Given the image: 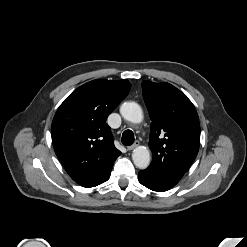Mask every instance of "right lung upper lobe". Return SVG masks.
I'll use <instances>...</instances> for the list:
<instances>
[{
    "label": "right lung upper lobe",
    "instance_id": "right-lung-upper-lobe-1",
    "mask_svg": "<svg viewBox=\"0 0 247 247\" xmlns=\"http://www.w3.org/2000/svg\"><path fill=\"white\" fill-rule=\"evenodd\" d=\"M130 88L128 80L90 81L74 90L54 116L51 134L55 153L69 176L83 187L107 181L121 154L106 119Z\"/></svg>",
    "mask_w": 247,
    "mask_h": 247
}]
</instances>
